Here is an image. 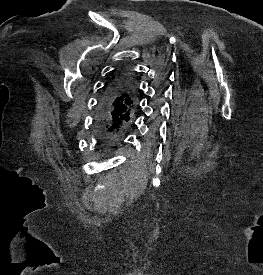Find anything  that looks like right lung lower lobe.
Wrapping results in <instances>:
<instances>
[{
	"mask_svg": "<svg viewBox=\"0 0 263 275\" xmlns=\"http://www.w3.org/2000/svg\"><path fill=\"white\" fill-rule=\"evenodd\" d=\"M122 78L132 79L128 72ZM125 90L121 82L109 84L102 93L95 116V131L105 147L113 146L130 126L133 116L122 115V100Z\"/></svg>",
	"mask_w": 263,
	"mask_h": 275,
	"instance_id": "1",
	"label": "right lung lower lobe"
}]
</instances>
